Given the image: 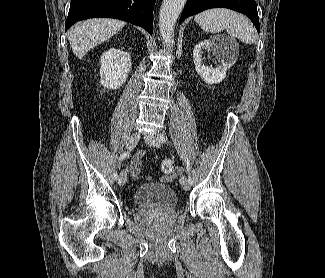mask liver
<instances>
[{"label": "liver", "mask_w": 325, "mask_h": 278, "mask_svg": "<svg viewBox=\"0 0 325 278\" xmlns=\"http://www.w3.org/2000/svg\"><path fill=\"white\" fill-rule=\"evenodd\" d=\"M125 24L117 19L94 18L76 25L68 37L73 53L82 59L91 48L115 35Z\"/></svg>", "instance_id": "obj_1"}]
</instances>
